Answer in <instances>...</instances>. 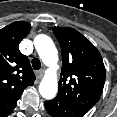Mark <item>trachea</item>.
Wrapping results in <instances>:
<instances>
[{
    "mask_svg": "<svg viewBox=\"0 0 117 117\" xmlns=\"http://www.w3.org/2000/svg\"><path fill=\"white\" fill-rule=\"evenodd\" d=\"M32 67L34 68V70H39L41 68V62L38 58H34L32 60Z\"/></svg>",
    "mask_w": 117,
    "mask_h": 117,
    "instance_id": "obj_1",
    "label": "trachea"
}]
</instances>
